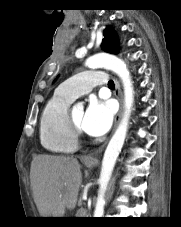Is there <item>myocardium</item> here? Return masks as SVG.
I'll return each mask as SVG.
<instances>
[{
	"mask_svg": "<svg viewBox=\"0 0 181 227\" xmlns=\"http://www.w3.org/2000/svg\"><path fill=\"white\" fill-rule=\"evenodd\" d=\"M67 123H68V126H69L70 131L72 132L73 136L76 139L82 135L81 127H79L74 122L70 111H68V113H67Z\"/></svg>",
	"mask_w": 181,
	"mask_h": 227,
	"instance_id": "f54148a6",
	"label": "myocardium"
}]
</instances>
